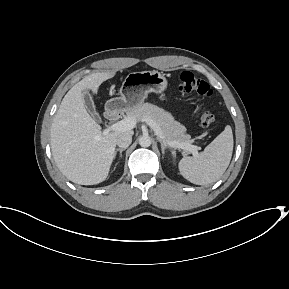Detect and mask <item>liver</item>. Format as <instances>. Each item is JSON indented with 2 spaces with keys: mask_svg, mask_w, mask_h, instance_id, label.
Returning <instances> with one entry per match:
<instances>
[{
  "mask_svg": "<svg viewBox=\"0 0 289 289\" xmlns=\"http://www.w3.org/2000/svg\"><path fill=\"white\" fill-rule=\"evenodd\" d=\"M115 71L90 74L64 96L51 125V151L59 170L72 182L94 185L103 182L114 159L116 140L122 133L107 134L88 114L83 90L97 93L99 86L114 77Z\"/></svg>",
  "mask_w": 289,
  "mask_h": 289,
  "instance_id": "liver-1",
  "label": "liver"
}]
</instances>
